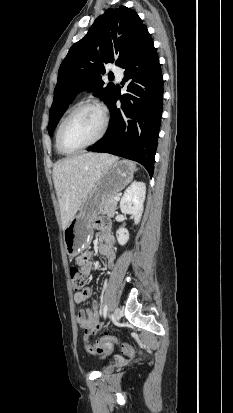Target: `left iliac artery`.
Listing matches in <instances>:
<instances>
[{
  "label": "left iliac artery",
  "instance_id": "obj_1",
  "mask_svg": "<svg viewBox=\"0 0 233 413\" xmlns=\"http://www.w3.org/2000/svg\"><path fill=\"white\" fill-rule=\"evenodd\" d=\"M107 310H108V307H107V305H105L104 308H103V315H104L105 318L107 316Z\"/></svg>",
  "mask_w": 233,
  "mask_h": 413
}]
</instances>
